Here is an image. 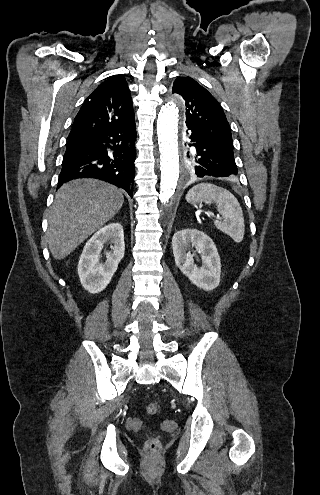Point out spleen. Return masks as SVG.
I'll return each mask as SVG.
<instances>
[{"label": "spleen", "instance_id": "3e777b00", "mask_svg": "<svg viewBox=\"0 0 320 495\" xmlns=\"http://www.w3.org/2000/svg\"><path fill=\"white\" fill-rule=\"evenodd\" d=\"M186 201L191 204L213 203L223 216V221H215L214 225L235 242L243 240L245 224L242 208L236 197L227 189L210 183H201L192 187L186 194Z\"/></svg>", "mask_w": 320, "mask_h": 495}]
</instances>
